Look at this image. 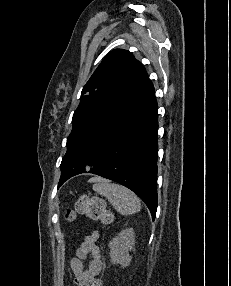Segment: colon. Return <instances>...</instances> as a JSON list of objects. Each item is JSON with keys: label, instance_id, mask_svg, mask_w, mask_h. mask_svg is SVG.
Returning a JSON list of instances; mask_svg holds the SVG:
<instances>
[{"label": "colon", "instance_id": "1", "mask_svg": "<svg viewBox=\"0 0 231 286\" xmlns=\"http://www.w3.org/2000/svg\"><path fill=\"white\" fill-rule=\"evenodd\" d=\"M77 215L107 224L113 220V215L107 208L105 201L97 196L81 195L74 208L67 210L65 218L68 221H73Z\"/></svg>", "mask_w": 231, "mask_h": 286}]
</instances>
